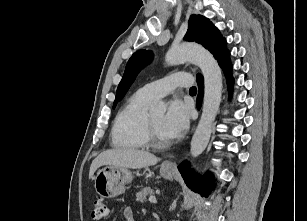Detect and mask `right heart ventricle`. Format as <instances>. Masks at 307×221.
<instances>
[{
	"label": "right heart ventricle",
	"instance_id": "obj_1",
	"mask_svg": "<svg viewBox=\"0 0 307 221\" xmlns=\"http://www.w3.org/2000/svg\"><path fill=\"white\" fill-rule=\"evenodd\" d=\"M153 99L141 90L135 92L117 113L112 130L111 143L116 149H142L146 147L145 123L147 106Z\"/></svg>",
	"mask_w": 307,
	"mask_h": 221
}]
</instances>
